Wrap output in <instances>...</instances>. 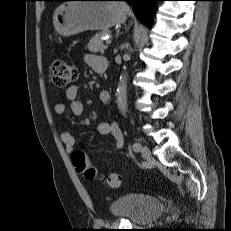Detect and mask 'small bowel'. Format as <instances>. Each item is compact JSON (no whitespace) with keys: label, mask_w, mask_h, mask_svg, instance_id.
<instances>
[{"label":"small bowel","mask_w":231,"mask_h":231,"mask_svg":"<svg viewBox=\"0 0 231 231\" xmlns=\"http://www.w3.org/2000/svg\"><path fill=\"white\" fill-rule=\"evenodd\" d=\"M87 64L95 70L101 64H107L105 58L88 55L86 57ZM96 71V70H95ZM65 97L70 102V110L71 113L75 117H80L83 115L84 107L81 101L78 99V88L75 85L70 86L65 90ZM99 99L102 104L108 105L111 101V96L108 91H101L99 94ZM55 112L59 115H62L67 110V105L64 102H58L55 105ZM97 130L100 134L103 135H110L114 140V148L120 149L124 143V137L122 131L116 122H107V121H100L97 124ZM61 141L65 146L67 151H72L75 145V138L72 133L65 131L61 134Z\"/></svg>","instance_id":"small-bowel-1"}]
</instances>
